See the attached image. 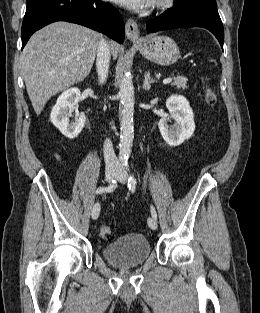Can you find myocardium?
Listing matches in <instances>:
<instances>
[{"label": "myocardium", "mask_w": 260, "mask_h": 313, "mask_svg": "<svg viewBox=\"0 0 260 313\" xmlns=\"http://www.w3.org/2000/svg\"><path fill=\"white\" fill-rule=\"evenodd\" d=\"M171 2H172V0H155L154 6L157 9H165V8L170 6Z\"/></svg>", "instance_id": "myocardium-1"}]
</instances>
